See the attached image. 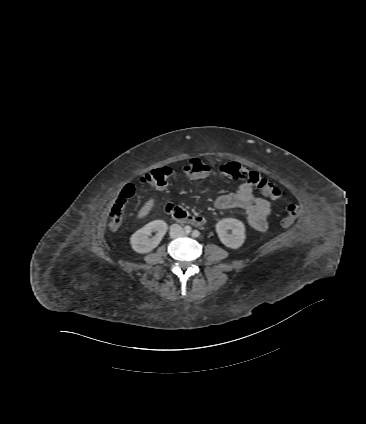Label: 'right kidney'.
<instances>
[{"label": "right kidney", "instance_id": "ca27d5eb", "mask_svg": "<svg viewBox=\"0 0 366 424\" xmlns=\"http://www.w3.org/2000/svg\"><path fill=\"white\" fill-rule=\"evenodd\" d=\"M167 224L162 220H154L136 231L130 238L132 249L137 253H148L158 246L167 231ZM153 231L157 234L148 238Z\"/></svg>", "mask_w": 366, "mask_h": 424}]
</instances>
